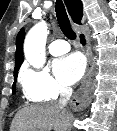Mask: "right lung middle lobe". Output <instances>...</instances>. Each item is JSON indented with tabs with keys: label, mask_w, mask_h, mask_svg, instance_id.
I'll return each instance as SVG.
<instances>
[{
	"label": "right lung middle lobe",
	"mask_w": 117,
	"mask_h": 131,
	"mask_svg": "<svg viewBox=\"0 0 117 131\" xmlns=\"http://www.w3.org/2000/svg\"><path fill=\"white\" fill-rule=\"evenodd\" d=\"M17 75L14 76V80L16 81ZM16 92V87H15V82L13 83V87H12V94H15Z\"/></svg>",
	"instance_id": "obj_1"
}]
</instances>
